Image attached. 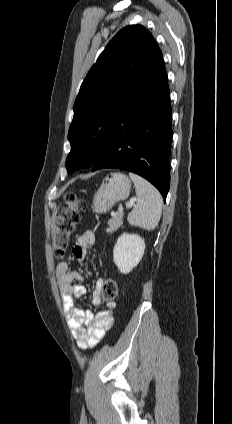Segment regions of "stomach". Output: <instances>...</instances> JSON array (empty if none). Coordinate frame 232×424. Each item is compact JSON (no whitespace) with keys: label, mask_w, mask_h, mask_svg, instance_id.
<instances>
[{"label":"stomach","mask_w":232,"mask_h":424,"mask_svg":"<svg viewBox=\"0 0 232 424\" xmlns=\"http://www.w3.org/2000/svg\"><path fill=\"white\" fill-rule=\"evenodd\" d=\"M131 181L123 173H111L106 176L94 195L92 209L102 214L108 212L117 202L128 198Z\"/></svg>","instance_id":"0dacf381"}]
</instances>
